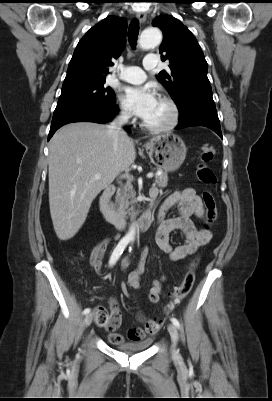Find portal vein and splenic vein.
<instances>
[{
	"mask_svg": "<svg viewBox=\"0 0 272 401\" xmlns=\"http://www.w3.org/2000/svg\"><path fill=\"white\" fill-rule=\"evenodd\" d=\"M100 177H101L100 175H95L94 176L95 179H99ZM124 177L127 178V179H131L132 178L129 174H125ZM152 177H153V173L147 174V178L148 179H150Z\"/></svg>",
	"mask_w": 272,
	"mask_h": 401,
	"instance_id": "18ae733b",
	"label": "portal vein and splenic vein"
}]
</instances>
